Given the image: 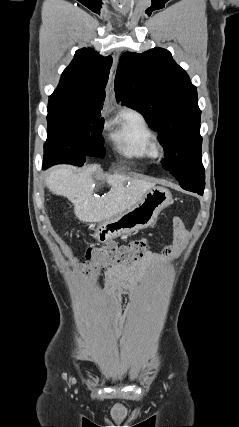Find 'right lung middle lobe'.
Listing matches in <instances>:
<instances>
[{
	"label": "right lung middle lobe",
	"mask_w": 239,
	"mask_h": 427,
	"mask_svg": "<svg viewBox=\"0 0 239 427\" xmlns=\"http://www.w3.org/2000/svg\"><path fill=\"white\" fill-rule=\"evenodd\" d=\"M47 120L43 168L62 163L81 166L86 156H105L101 111L48 105Z\"/></svg>",
	"instance_id": "dd1d6c3e"
}]
</instances>
